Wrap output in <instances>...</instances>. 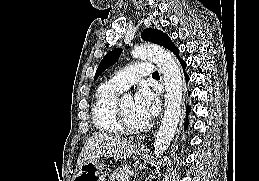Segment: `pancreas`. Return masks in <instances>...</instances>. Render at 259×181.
<instances>
[{"label":"pancreas","mask_w":259,"mask_h":181,"mask_svg":"<svg viewBox=\"0 0 259 181\" xmlns=\"http://www.w3.org/2000/svg\"><path fill=\"white\" fill-rule=\"evenodd\" d=\"M130 172L129 166H121L114 170V172L111 175L112 181H120L122 177L128 178V174Z\"/></svg>","instance_id":"cf45deb5"}]
</instances>
